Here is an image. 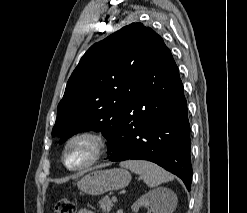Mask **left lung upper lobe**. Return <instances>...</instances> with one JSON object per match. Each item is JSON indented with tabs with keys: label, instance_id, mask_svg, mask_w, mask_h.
I'll list each match as a JSON object with an SVG mask.
<instances>
[{
	"label": "left lung upper lobe",
	"instance_id": "left-lung-upper-lobe-1",
	"mask_svg": "<svg viewBox=\"0 0 247 213\" xmlns=\"http://www.w3.org/2000/svg\"><path fill=\"white\" fill-rule=\"evenodd\" d=\"M170 50L151 28L132 23L92 45L68 80L57 108L52 136L101 131L108 149L117 134L128 100L147 71Z\"/></svg>",
	"mask_w": 247,
	"mask_h": 213
}]
</instances>
